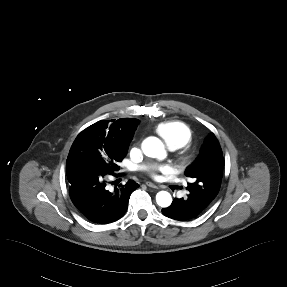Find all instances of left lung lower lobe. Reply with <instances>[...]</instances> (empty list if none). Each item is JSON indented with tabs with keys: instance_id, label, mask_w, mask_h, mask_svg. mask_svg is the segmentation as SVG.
<instances>
[{
	"instance_id": "obj_1",
	"label": "left lung lower lobe",
	"mask_w": 287,
	"mask_h": 287,
	"mask_svg": "<svg viewBox=\"0 0 287 287\" xmlns=\"http://www.w3.org/2000/svg\"><path fill=\"white\" fill-rule=\"evenodd\" d=\"M209 204L189 193L186 198H175L169 207L162 209V213L169 218L186 221L199 216Z\"/></svg>"
}]
</instances>
